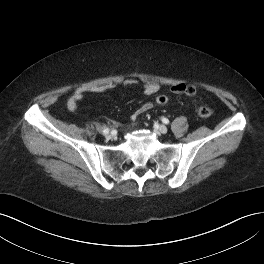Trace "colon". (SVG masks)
I'll return each instance as SVG.
<instances>
[{
	"label": "colon",
	"mask_w": 264,
	"mask_h": 264,
	"mask_svg": "<svg viewBox=\"0 0 264 264\" xmlns=\"http://www.w3.org/2000/svg\"><path fill=\"white\" fill-rule=\"evenodd\" d=\"M184 92L187 95L192 96V95L195 94L196 89L192 85H186L185 89H184ZM167 102H168V97L166 95H159V96L156 97V103L158 105H165V104H167ZM196 112H197V114L200 117L208 118V117H210L213 114V109L210 106H207V105H199L196 108Z\"/></svg>",
	"instance_id": "5ec220e1"
}]
</instances>
